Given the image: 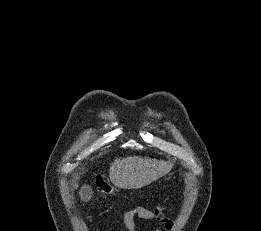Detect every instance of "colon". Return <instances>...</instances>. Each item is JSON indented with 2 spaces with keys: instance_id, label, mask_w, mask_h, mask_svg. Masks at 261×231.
Segmentation results:
<instances>
[{
  "instance_id": "obj_1",
  "label": "colon",
  "mask_w": 261,
  "mask_h": 231,
  "mask_svg": "<svg viewBox=\"0 0 261 231\" xmlns=\"http://www.w3.org/2000/svg\"><path fill=\"white\" fill-rule=\"evenodd\" d=\"M99 190L102 194H104L106 196H109L111 194V188L107 183L102 185Z\"/></svg>"
}]
</instances>
